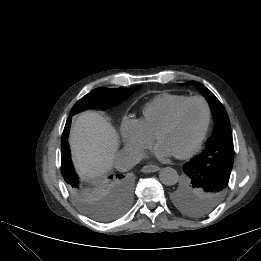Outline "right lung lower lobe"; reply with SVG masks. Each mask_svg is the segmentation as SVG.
Returning a JSON list of instances; mask_svg holds the SVG:
<instances>
[{"label":"right lung lower lobe","mask_w":261,"mask_h":261,"mask_svg":"<svg viewBox=\"0 0 261 261\" xmlns=\"http://www.w3.org/2000/svg\"><path fill=\"white\" fill-rule=\"evenodd\" d=\"M71 118H68L65 124V128L62 134V141H61V164H62V170L68 171L73 169V165L70 158V150H69V144H68V134H69V128H70ZM122 177V176H119Z\"/></svg>","instance_id":"obj_1"}]
</instances>
